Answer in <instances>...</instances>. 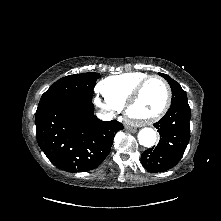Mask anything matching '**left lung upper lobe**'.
I'll return each mask as SVG.
<instances>
[{
  "instance_id": "obj_1",
  "label": "left lung upper lobe",
  "mask_w": 221,
  "mask_h": 221,
  "mask_svg": "<svg viewBox=\"0 0 221 221\" xmlns=\"http://www.w3.org/2000/svg\"><path fill=\"white\" fill-rule=\"evenodd\" d=\"M159 75L164 77L168 81V83L171 87V90H172L171 105L177 104V103H187L186 92L181 88L179 83H177L175 80H173L167 74L159 73Z\"/></svg>"
}]
</instances>
